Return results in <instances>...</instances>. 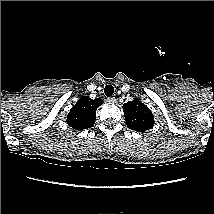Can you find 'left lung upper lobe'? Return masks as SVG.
Returning <instances> with one entry per match:
<instances>
[{"label": "left lung upper lobe", "instance_id": "obj_1", "mask_svg": "<svg viewBox=\"0 0 214 214\" xmlns=\"http://www.w3.org/2000/svg\"><path fill=\"white\" fill-rule=\"evenodd\" d=\"M124 117L129 129L145 132L154 125V117L151 110L138 98L123 104Z\"/></svg>", "mask_w": 214, "mask_h": 214}]
</instances>
